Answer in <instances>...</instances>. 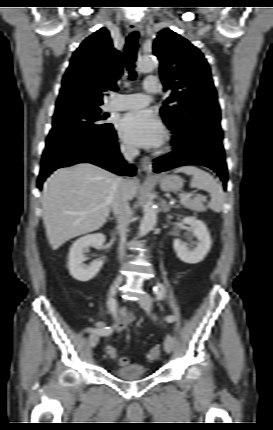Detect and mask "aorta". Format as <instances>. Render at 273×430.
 Segmentation results:
<instances>
[{"label":"aorta","instance_id":"obj_1","mask_svg":"<svg viewBox=\"0 0 273 430\" xmlns=\"http://www.w3.org/2000/svg\"><path fill=\"white\" fill-rule=\"evenodd\" d=\"M157 67V60L154 56H142L138 60L137 70L141 73H151ZM157 222V212L155 203L148 199L144 206V216L141 220L138 235L143 237L153 230Z\"/></svg>","mask_w":273,"mask_h":430}]
</instances>
